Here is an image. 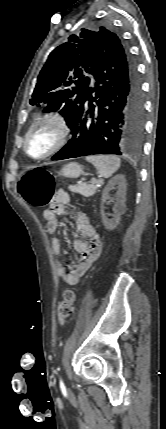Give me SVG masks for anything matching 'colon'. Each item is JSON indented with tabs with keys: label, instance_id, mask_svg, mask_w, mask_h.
Instances as JSON below:
<instances>
[{
	"label": "colon",
	"instance_id": "colon-1",
	"mask_svg": "<svg viewBox=\"0 0 166 429\" xmlns=\"http://www.w3.org/2000/svg\"><path fill=\"white\" fill-rule=\"evenodd\" d=\"M54 177L51 172L42 167L27 170L18 182L20 196L29 204L36 207L47 205L53 197ZM76 295L72 290H66L58 306L61 320L69 318L75 310Z\"/></svg>",
	"mask_w": 166,
	"mask_h": 429
}]
</instances>
